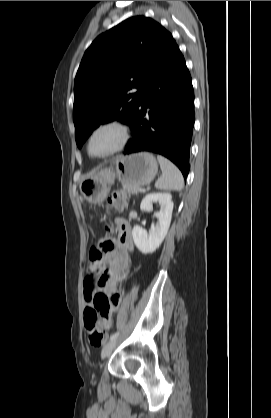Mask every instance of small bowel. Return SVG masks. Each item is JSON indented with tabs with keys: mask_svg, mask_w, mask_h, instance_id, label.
Masks as SVG:
<instances>
[{
	"mask_svg": "<svg viewBox=\"0 0 271 418\" xmlns=\"http://www.w3.org/2000/svg\"><path fill=\"white\" fill-rule=\"evenodd\" d=\"M118 241L114 249L105 255V258L98 263L91 262V271L101 272L104 268V262L110 265L105 277H99L98 287L94 285L91 279L84 282L85 312L94 307V299L98 293L103 294L109 300L106 310L102 311L101 317L106 327L111 326L112 315L120 305L121 294L118 290V283L125 277L130 265V253L133 251V239L130 225L123 219H117L116 222Z\"/></svg>",
	"mask_w": 271,
	"mask_h": 418,
	"instance_id": "obj_1",
	"label": "small bowel"
}]
</instances>
